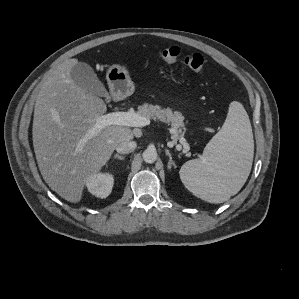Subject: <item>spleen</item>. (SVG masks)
Wrapping results in <instances>:
<instances>
[{"label":"spleen","instance_id":"1","mask_svg":"<svg viewBox=\"0 0 299 299\" xmlns=\"http://www.w3.org/2000/svg\"><path fill=\"white\" fill-rule=\"evenodd\" d=\"M254 140L243 105L233 101L221 130L206 145L200 159L187 161L179 174L195 196L222 203L245 184L253 162Z\"/></svg>","mask_w":299,"mask_h":299}]
</instances>
